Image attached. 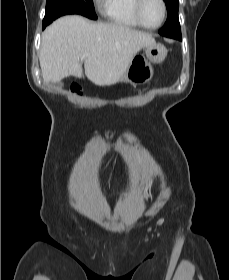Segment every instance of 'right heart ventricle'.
Instances as JSON below:
<instances>
[{
	"mask_svg": "<svg viewBox=\"0 0 229 280\" xmlns=\"http://www.w3.org/2000/svg\"><path fill=\"white\" fill-rule=\"evenodd\" d=\"M135 0H105L103 15L107 22L123 28H141L134 16Z\"/></svg>",
	"mask_w": 229,
	"mask_h": 280,
	"instance_id": "obj_1",
	"label": "right heart ventricle"
}]
</instances>
